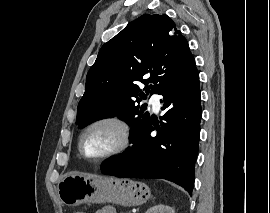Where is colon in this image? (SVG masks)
Listing matches in <instances>:
<instances>
[{
  "mask_svg": "<svg viewBox=\"0 0 270 213\" xmlns=\"http://www.w3.org/2000/svg\"><path fill=\"white\" fill-rule=\"evenodd\" d=\"M74 213H85V212H83V211H76V212H74Z\"/></svg>",
  "mask_w": 270,
  "mask_h": 213,
  "instance_id": "1",
  "label": "colon"
}]
</instances>
